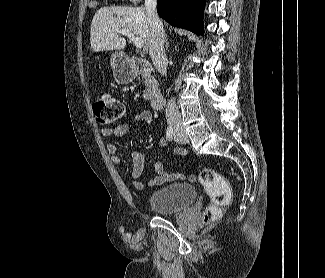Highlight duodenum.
<instances>
[{"instance_id":"410a0bca","label":"duodenum","mask_w":325,"mask_h":278,"mask_svg":"<svg viewBox=\"0 0 325 278\" xmlns=\"http://www.w3.org/2000/svg\"><path fill=\"white\" fill-rule=\"evenodd\" d=\"M131 62H132V66H133L134 70L138 73L147 74L152 71V67H151L150 63L148 61H146L145 59L132 58ZM149 101H150V105H151L152 109L159 110L163 106L164 98L160 94H153L150 97Z\"/></svg>"}]
</instances>
